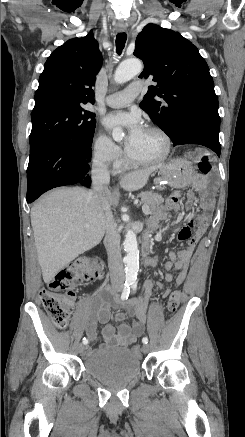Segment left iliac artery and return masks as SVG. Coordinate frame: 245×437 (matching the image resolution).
<instances>
[{
    "mask_svg": "<svg viewBox=\"0 0 245 437\" xmlns=\"http://www.w3.org/2000/svg\"><path fill=\"white\" fill-rule=\"evenodd\" d=\"M131 288H132V290L135 292L136 289H137V283H136V282H132V283H131ZM142 342H143L144 344H147V343H148V338H147V337H143Z\"/></svg>",
    "mask_w": 245,
    "mask_h": 437,
    "instance_id": "left-iliac-artery-1",
    "label": "left iliac artery"
}]
</instances>
